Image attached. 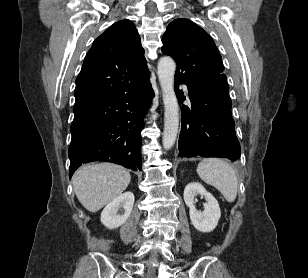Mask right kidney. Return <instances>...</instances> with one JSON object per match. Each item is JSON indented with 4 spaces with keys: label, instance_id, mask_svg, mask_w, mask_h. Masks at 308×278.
I'll return each mask as SVG.
<instances>
[{
    "label": "right kidney",
    "instance_id": "ca27d5eb",
    "mask_svg": "<svg viewBox=\"0 0 308 278\" xmlns=\"http://www.w3.org/2000/svg\"><path fill=\"white\" fill-rule=\"evenodd\" d=\"M134 195L125 192L112 200L101 213V222L109 229H115L126 222L132 212Z\"/></svg>",
    "mask_w": 308,
    "mask_h": 278
}]
</instances>
